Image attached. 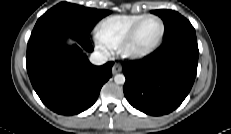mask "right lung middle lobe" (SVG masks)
Here are the masks:
<instances>
[{
    "label": "right lung middle lobe",
    "instance_id": "1",
    "mask_svg": "<svg viewBox=\"0 0 231 134\" xmlns=\"http://www.w3.org/2000/svg\"><path fill=\"white\" fill-rule=\"evenodd\" d=\"M110 13L107 10L91 9L68 2H61L43 14L36 22L33 30L57 23L72 26L89 34L93 26Z\"/></svg>",
    "mask_w": 231,
    "mask_h": 134
}]
</instances>
